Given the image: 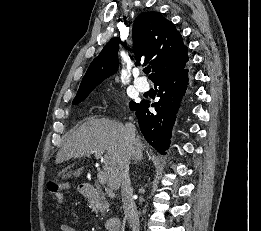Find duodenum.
<instances>
[{"label":"duodenum","instance_id":"duodenum-1","mask_svg":"<svg viewBox=\"0 0 261 231\" xmlns=\"http://www.w3.org/2000/svg\"><path fill=\"white\" fill-rule=\"evenodd\" d=\"M80 193L88 198H94L97 193V189L93 185H80ZM120 219L117 217H110L107 222V229L109 231H119L120 229Z\"/></svg>","mask_w":261,"mask_h":231}]
</instances>
